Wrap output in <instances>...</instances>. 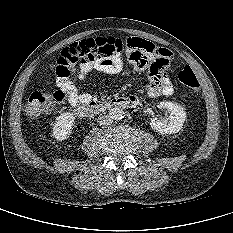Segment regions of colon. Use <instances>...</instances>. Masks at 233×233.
Wrapping results in <instances>:
<instances>
[{
  "mask_svg": "<svg viewBox=\"0 0 233 233\" xmlns=\"http://www.w3.org/2000/svg\"><path fill=\"white\" fill-rule=\"evenodd\" d=\"M126 41L118 37H97L76 42L62 51L56 62L55 70L61 75H67L70 73L72 66L76 64L106 63L116 56L122 57L125 55ZM178 80L191 90L197 91L200 88L199 80L189 66H185L178 73ZM63 97L64 94L60 90L55 92L34 91L28 99L27 114L31 117L42 115L49 111L54 103L61 101Z\"/></svg>",
  "mask_w": 233,
  "mask_h": 233,
  "instance_id": "colon-1",
  "label": "colon"
}]
</instances>
